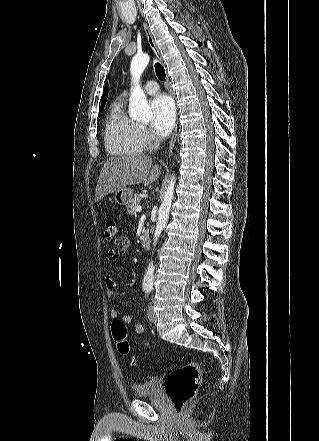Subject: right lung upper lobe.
<instances>
[{"label": "right lung upper lobe", "instance_id": "1", "mask_svg": "<svg viewBox=\"0 0 319 441\" xmlns=\"http://www.w3.org/2000/svg\"><path fill=\"white\" fill-rule=\"evenodd\" d=\"M107 95H108V85L106 84V86L104 88L103 96H102L101 106L105 105L106 100H107Z\"/></svg>", "mask_w": 319, "mask_h": 441}]
</instances>
